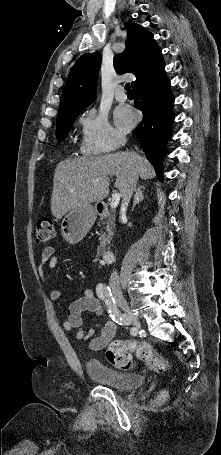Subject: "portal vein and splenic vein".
I'll return each instance as SVG.
<instances>
[{"label": "portal vein and splenic vein", "mask_w": 221, "mask_h": 455, "mask_svg": "<svg viewBox=\"0 0 221 455\" xmlns=\"http://www.w3.org/2000/svg\"><path fill=\"white\" fill-rule=\"evenodd\" d=\"M99 180H100V178L96 179L95 181H99ZM120 196L121 195L118 192H116V193H114L112 195V200H111V203H110V208L111 209H115L118 206V204L120 202Z\"/></svg>", "instance_id": "1"}]
</instances>
